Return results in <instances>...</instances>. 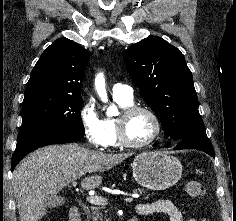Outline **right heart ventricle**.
Listing matches in <instances>:
<instances>
[{
	"mask_svg": "<svg viewBox=\"0 0 236 221\" xmlns=\"http://www.w3.org/2000/svg\"><path fill=\"white\" fill-rule=\"evenodd\" d=\"M114 99L121 108L132 105V101H126L119 98H114ZM103 125H104L106 135H107L106 146H112V147L119 146L120 144L117 137L116 118L109 117V116L105 117L103 119Z\"/></svg>",
	"mask_w": 236,
	"mask_h": 221,
	"instance_id": "right-heart-ventricle-1",
	"label": "right heart ventricle"
}]
</instances>
